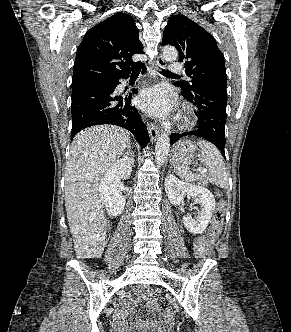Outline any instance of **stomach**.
Masks as SVG:
<instances>
[{"instance_id": "stomach-1", "label": "stomach", "mask_w": 291, "mask_h": 332, "mask_svg": "<svg viewBox=\"0 0 291 332\" xmlns=\"http://www.w3.org/2000/svg\"><path fill=\"white\" fill-rule=\"evenodd\" d=\"M196 146L189 141H179L172 151L171 162L177 166H188L196 157Z\"/></svg>"}]
</instances>
